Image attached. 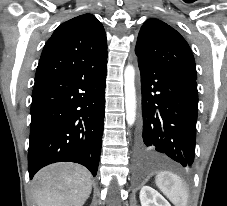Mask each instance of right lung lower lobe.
<instances>
[{"label": "right lung lower lobe", "instance_id": "98d812e1", "mask_svg": "<svg viewBox=\"0 0 227 206\" xmlns=\"http://www.w3.org/2000/svg\"><path fill=\"white\" fill-rule=\"evenodd\" d=\"M107 61L35 82L28 171L76 162L96 176L102 143Z\"/></svg>", "mask_w": 227, "mask_h": 206}]
</instances>
